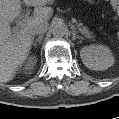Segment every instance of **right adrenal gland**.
Segmentation results:
<instances>
[{
	"label": "right adrenal gland",
	"mask_w": 119,
	"mask_h": 119,
	"mask_svg": "<svg viewBox=\"0 0 119 119\" xmlns=\"http://www.w3.org/2000/svg\"><path fill=\"white\" fill-rule=\"evenodd\" d=\"M42 39H43V35H39V37L33 41L32 45L35 47L37 42H39V44H41Z\"/></svg>",
	"instance_id": "1"
}]
</instances>
